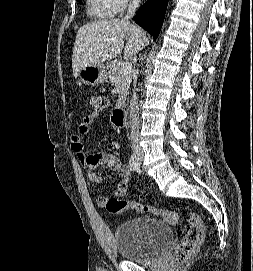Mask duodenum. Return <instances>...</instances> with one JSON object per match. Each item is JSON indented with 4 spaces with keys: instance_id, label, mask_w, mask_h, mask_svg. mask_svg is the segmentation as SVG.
<instances>
[{
    "instance_id": "obj_1",
    "label": "duodenum",
    "mask_w": 253,
    "mask_h": 271,
    "mask_svg": "<svg viewBox=\"0 0 253 271\" xmlns=\"http://www.w3.org/2000/svg\"><path fill=\"white\" fill-rule=\"evenodd\" d=\"M112 120L115 126L121 128L126 124V111L122 107H118L115 109L112 115Z\"/></svg>"
}]
</instances>
